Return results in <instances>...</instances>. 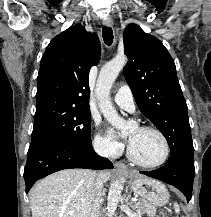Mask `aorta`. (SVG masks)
I'll use <instances>...</instances> for the list:
<instances>
[{"label":"aorta","instance_id":"1","mask_svg":"<svg viewBox=\"0 0 211 217\" xmlns=\"http://www.w3.org/2000/svg\"><path fill=\"white\" fill-rule=\"evenodd\" d=\"M127 62L125 55L115 57L100 70L96 85V94L99 99V107L103 116L110 124L121 131L126 129L125 121L118 115L110 100V90L120 71ZM123 186L120 181H113L109 188L107 199L108 217H113L118 201L121 197Z\"/></svg>","mask_w":211,"mask_h":217}]
</instances>
